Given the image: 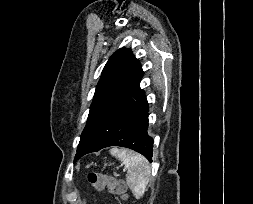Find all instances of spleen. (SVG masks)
Returning a JSON list of instances; mask_svg holds the SVG:
<instances>
[{"label":"spleen","instance_id":"1","mask_svg":"<svg viewBox=\"0 0 253 204\" xmlns=\"http://www.w3.org/2000/svg\"><path fill=\"white\" fill-rule=\"evenodd\" d=\"M111 154L117 157L128 169L126 182L136 199H140L145 191L151 176L148 160L128 149L113 148Z\"/></svg>","mask_w":253,"mask_h":204}]
</instances>
